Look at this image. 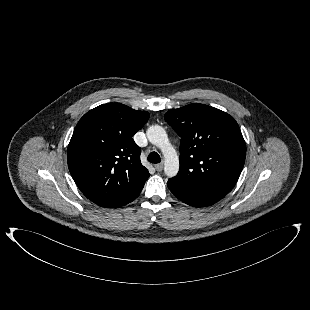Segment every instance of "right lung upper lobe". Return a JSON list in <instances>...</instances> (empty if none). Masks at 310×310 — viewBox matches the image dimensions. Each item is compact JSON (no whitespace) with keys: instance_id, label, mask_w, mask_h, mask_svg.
Segmentation results:
<instances>
[{"instance_id":"right-lung-upper-lobe-1","label":"right lung upper lobe","mask_w":310,"mask_h":310,"mask_svg":"<svg viewBox=\"0 0 310 310\" xmlns=\"http://www.w3.org/2000/svg\"><path fill=\"white\" fill-rule=\"evenodd\" d=\"M120 103L100 105L78 122L68 145L69 171L81 192L99 206H123L138 197L150 176L132 137L149 119Z\"/></svg>"}]
</instances>
